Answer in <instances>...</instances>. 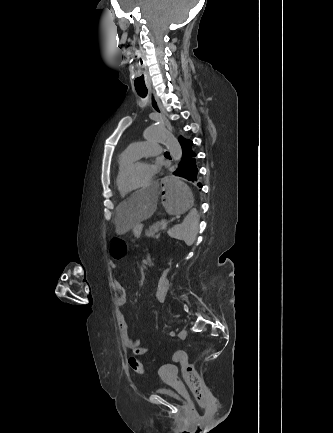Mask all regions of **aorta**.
<instances>
[{"instance_id":"762f6f07","label":"aorta","mask_w":333,"mask_h":433,"mask_svg":"<svg viewBox=\"0 0 333 433\" xmlns=\"http://www.w3.org/2000/svg\"><path fill=\"white\" fill-rule=\"evenodd\" d=\"M143 137L149 142L165 144L172 159L176 162L180 161L182 155L181 146L178 140L163 126L148 127L144 131Z\"/></svg>"}]
</instances>
